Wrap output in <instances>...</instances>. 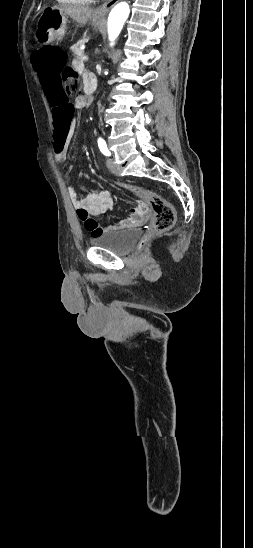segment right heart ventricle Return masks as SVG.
Instances as JSON below:
<instances>
[{"label":"right heart ventricle","instance_id":"obj_1","mask_svg":"<svg viewBox=\"0 0 253 548\" xmlns=\"http://www.w3.org/2000/svg\"><path fill=\"white\" fill-rule=\"evenodd\" d=\"M61 4L69 5H78V4H87L92 2V0H57Z\"/></svg>","mask_w":253,"mask_h":548}]
</instances>
